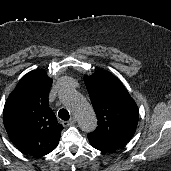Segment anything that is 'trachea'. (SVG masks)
Masks as SVG:
<instances>
[{
	"label": "trachea",
	"mask_w": 171,
	"mask_h": 171,
	"mask_svg": "<svg viewBox=\"0 0 171 171\" xmlns=\"http://www.w3.org/2000/svg\"><path fill=\"white\" fill-rule=\"evenodd\" d=\"M58 116L64 121H67L70 118L69 112L66 109H61Z\"/></svg>",
	"instance_id": "trachea-1"
}]
</instances>
